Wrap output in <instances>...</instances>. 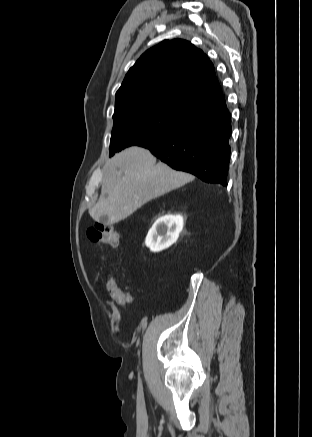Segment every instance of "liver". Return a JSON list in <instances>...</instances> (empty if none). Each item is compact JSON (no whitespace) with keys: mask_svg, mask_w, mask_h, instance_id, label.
I'll return each instance as SVG.
<instances>
[{"mask_svg":"<svg viewBox=\"0 0 312 437\" xmlns=\"http://www.w3.org/2000/svg\"><path fill=\"white\" fill-rule=\"evenodd\" d=\"M194 176L175 171L145 148L134 146L114 155L108 162L101 195L89 214L96 222L115 224L147 202L180 188Z\"/></svg>","mask_w":312,"mask_h":437,"instance_id":"1","label":"liver"}]
</instances>
